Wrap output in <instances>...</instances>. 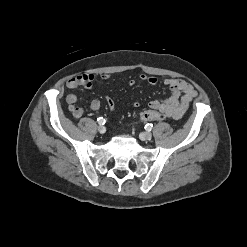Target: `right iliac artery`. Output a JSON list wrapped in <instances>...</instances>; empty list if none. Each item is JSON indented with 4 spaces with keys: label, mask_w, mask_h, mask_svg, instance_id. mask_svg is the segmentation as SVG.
<instances>
[{
    "label": "right iliac artery",
    "mask_w": 247,
    "mask_h": 247,
    "mask_svg": "<svg viewBox=\"0 0 247 247\" xmlns=\"http://www.w3.org/2000/svg\"><path fill=\"white\" fill-rule=\"evenodd\" d=\"M97 121H98V123H99L100 125H104V124H105V119H104L103 117H99V118L97 119Z\"/></svg>",
    "instance_id": "82829eb1"
}]
</instances>
